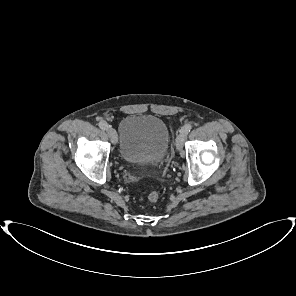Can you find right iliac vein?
<instances>
[{"label":"right iliac vein","instance_id":"obj_1","mask_svg":"<svg viewBox=\"0 0 296 296\" xmlns=\"http://www.w3.org/2000/svg\"><path fill=\"white\" fill-rule=\"evenodd\" d=\"M107 132H108V135H109L112 143L116 144L117 143V133H116L115 129H113L112 127H109L107 129Z\"/></svg>","mask_w":296,"mask_h":296}]
</instances>
